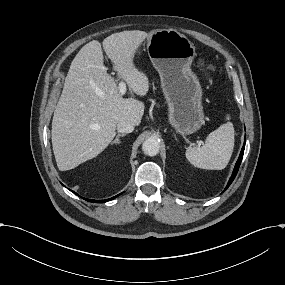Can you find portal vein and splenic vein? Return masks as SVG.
<instances>
[{
  "label": "portal vein and splenic vein",
  "instance_id": "portal-vein-and-splenic-vein-1",
  "mask_svg": "<svg viewBox=\"0 0 285 285\" xmlns=\"http://www.w3.org/2000/svg\"><path fill=\"white\" fill-rule=\"evenodd\" d=\"M106 68V67H105ZM112 74H115V72H113L112 71ZM118 81H119V83H118V87H119V91L121 92V93H125L126 92V82L123 80V79H121V78H119L118 79ZM201 143H196V145H200Z\"/></svg>",
  "mask_w": 285,
  "mask_h": 285
}]
</instances>
